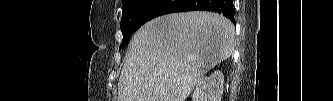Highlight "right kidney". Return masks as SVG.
Returning <instances> with one entry per match:
<instances>
[{
    "label": "right kidney",
    "instance_id": "right-kidney-1",
    "mask_svg": "<svg viewBox=\"0 0 333 101\" xmlns=\"http://www.w3.org/2000/svg\"><path fill=\"white\" fill-rule=\"evenodd\" d=\"M224 88V75L215 71L208 77L201 78L195 86L193 101H221Z\"/></svg>",
    "mask_w": 333,
    "mask_h": 101
}]
</instances>
